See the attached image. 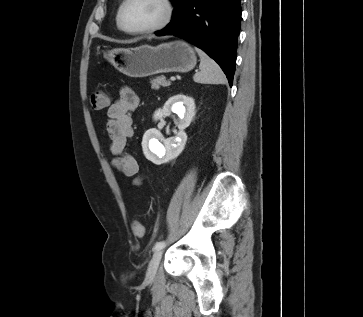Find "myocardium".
I'll return each instance as SVG.
<instances>
[{
  "mask_svg": "<svg viewBox=\"0 0 363 317\" xmlns=\"http://www.w3.org/2000/svg\"><path fill=\"white\" fill-rule=\"evenodd\" d=\"M129 2H130V0H123L121 2L118 12H117L118 26L125 33L131 34V35H146V34L156 33V32L163 30L164 28H166L170 24V22L173 18L174 6L172 4V1L171 0H160V2L162 3V5L164 7V15H163V18L158 23H156L150 27H146V28H142V29H129L124 25V21H123L124 9Z\"/></svg>",
  "mask_w": 363,
  "mask_h": 317,
  "instance_id": "myocardium-1",
  "label": "myocardium"
}]
</instances>
